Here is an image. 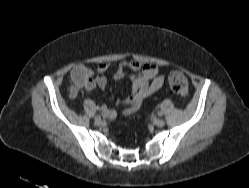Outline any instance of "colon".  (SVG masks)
Returning <instances> with one entry per match:
<instances>
[{
  "mask_svg": "<svg viewBox=\"0 0 249 188\" xmlns=\"http://www.w3.org/2000/svg\"><path fill=\"white\" fill-rule=\"evenodd\" d=\"M80 73H77V78H80ZM168 82L171 89L181 95L186 96L188 93V81L184 74L181 72H171L168 77Z\"/></svg>",
  "mask_w": 249,
  "mask_h": 188,
  "instance_id": "obj_1",
  "label": "colon"
}]
</instances>
